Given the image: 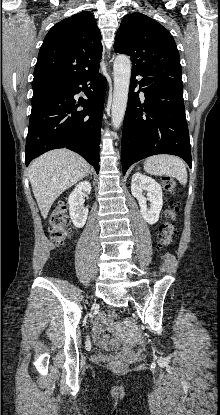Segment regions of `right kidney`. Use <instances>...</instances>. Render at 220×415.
I'll return each instance as SVG.
<instances>
[{
    "label": "right kidney",
    "mask_w": 220,
    "mask_h": 415,
    "mask_svg": "<svg viewBox=\"0 0 220 415\" xmlns=\"http://www.w3.org/2000/svg\"><path fill=\"white\" fill-rule=\"evenodd\" d=\"M90 191V183L83 181L76 185L69 196V214L74 226L77 228H82L86 223L88 209L83 206V192L90 193Z\"/></svg>",
    "instance_id": "ca27d5eb"
}]
</instances>
